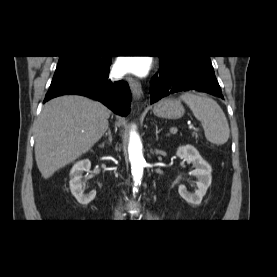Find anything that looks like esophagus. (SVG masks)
<instances>
[{
  "mask_svg": "<svg viewBox=\"0 0 277 277\" xmlns=\"http://www.w3.org/2000/svg\"><path fill=\"white\" fill-rule=\"evenodd\" d=\"M126 79L128 81V84L130 86V89L134 98L141 99L143 96V92H142V87L140 82L131 76H128Z\"/></svg>",
  "mask_w": 277,
  "mask_h": 277,
  "instance_id": "1",
  "label": "esophagus"
}]
</instances>
